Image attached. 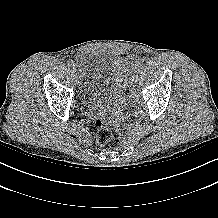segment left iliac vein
I'll list each match as a JSON object with an SVG mask.
<instances>
[{"label": "left iliac vein", "instance_id": "1", "mask_svg": "<svg viewBox=\"0 0 218 218\" xmlns=\"http://www.w3.org/2000/svg\"><path fill=\"white\" fill-rule=\"evenodd\" d=\"M135 77H138V72H133V76H130V84L128 85L129 86V90L131 91L133 88H132V86H133V84L135 83L134 81H135Z\"/></svg>", "mask_w": 218, "mask_h": 218}]
</instances>
